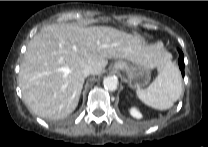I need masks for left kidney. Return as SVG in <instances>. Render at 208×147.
Returning <instances> with one entry per match:
<instances>
[{"instance_id":"obj_1","label":"left kidney","mask_w":208,"mask_h":147,"mask_svg":"<svg viewBox=\"0 0 208 147\" xmlns=\"http://www.w3.org/2000/svg\"><path fill=\"white\" fill-rule=\"evenodd\" d=\"M130 114L133 117L138 118V119L142 117L141 113L136 108H131L130 109Z\"/></svg>"}]
</instances>
